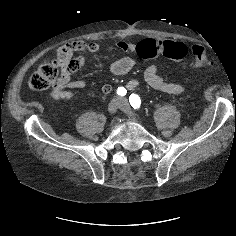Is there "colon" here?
I'll return each instance as SVG.
<instances>
[{
  "label": "colon",
  "mask_w": 236,
  "mask_h": 236,
  "mask_svg": "<svg viewBox=\"0 0 236 236\" xmlns=\"http://www.w3.org/2000/svg\"><path fill=\"white\" fill-rule=\"evenodd\" d=\"M193 59L192 68H200L209 64L205 49L201 45H193L191 48ZM188 53V47L181 42L162 41L157 44L149 40L143 41L138 48V56L142 59H151L163 55L166 58L182 61ZM72 54L63 46L60 47L55 58L44 62L32 74L29 85L33 90H44L51 85H56L63 72L70 64Z\"/></svg>",
  "instance_id": "5ec220e1"
}]
</instances>
